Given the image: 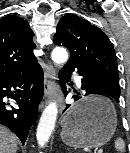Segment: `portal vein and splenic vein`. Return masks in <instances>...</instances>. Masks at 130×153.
Instances as JSON below:
<instances>
[{
    "instance_id": "obj_1",
    "label": "portal vein and splenic vein",
    "mask_w": 130,
    "mask_h": 153,
    "mask_svg": "<svg viewBox=\"0 0 130 153\" xmlns=\"http://www.w3.org/2000/svg\"><path fill=\"white\" fill-rule=\"evenodd\" d=\"M102 152H103L102 150H100V149L98 150V153H102Z\"/></svg>"
}]
</instances>
